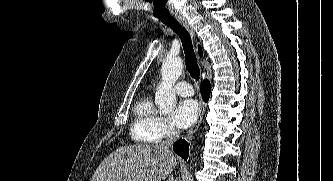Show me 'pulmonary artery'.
Instances as JSON below:
<instances>
[{
  "label": "pulmonary artery",
  "instance_id": "e3ab8cb5",
  "mask_svg": "<svg viewBox=\"0 0 333 181\" xmlns=\"http://www.w3.org/2000/svg\"><path fill=\"white\" fill-rule=\"evenodd\" d=\"M175 91L182 97H189L194 94V90L188 82H179L175 87Z\"/></svg>",
  "mask_w": 333,
  "mask_h": 181
}]
</instances>
